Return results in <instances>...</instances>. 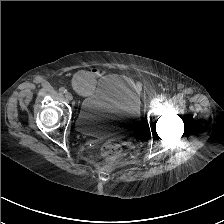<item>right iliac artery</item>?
<instances>
[{"label": "right iliac artery", "mask_w": 224, "mask_h": 224, "mask_svg": "<svg viewBox=\"0 0 224 224\" xmlns=\"http://www.w3.org/2000/svg\"><path fill=\"white\" fill-rule=\"evenodd\" d=\"M66 89L64 88V87H61L60 89H59V92L61 93V94H64V93H66Z\"/></svg>", "instance_id": "right-iliac-artery-1"}]
</instances>
